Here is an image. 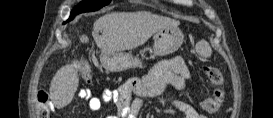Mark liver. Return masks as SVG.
Returning a JSON list of instances; mask_svg holds the SVG:
<instances>
[{"mask_svg":"<svg viewBox=\"0 0 273 118\" xmlns=\"http://www.w3.org/2000/svg\"><path fill=\"white\" fill-rule=\"evenodd\" d=\"M179 21L150 12H113L100 17L92 36L102 52L118 53L135 49L148 41L159 29L178 26ZM102 31V35H99ZM79 78L72 65L60 68L50 84V98L56 108L67 106L74 97Z\"/></svg>","mask_w":273,"mask_h":118,"instance_id":"1","label":"liver"}]
</instances>
